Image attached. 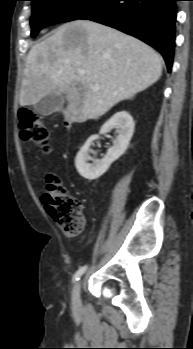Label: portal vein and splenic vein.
<instances>
[{"label": "portal vein and splenic vein", "mask_w": 193, "mask_h": 349, "mask_svg": "<svg viewBox=\"0 0 193 349\" xmlns=\"http://www.w3.org/2000/svg\"><path fill=\"white\" fill-rule=\"evenodd\" d=\"M78 74L81 75V76H82V75H85V71H83V70H78ZM92 88H93L94 90H98V87H97L96 85H93Z\"/></svg>", "instance_id": "18ae733b"}]
</instances>
